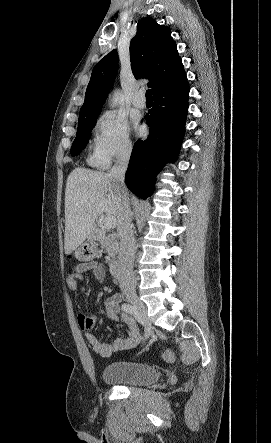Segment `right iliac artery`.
I'll return each mask as SVG.
<instances>
[{
  "instance_id": "82829eb1",
  "label": "right iliac artery",
  "mask_w": 271,
  "mask_h": 443,
  "mask_svg": "<svg viewBox=\"0 0 271 443\" xmlns=\"http://www.w3.org/2000/svg\"><path fill=\"white\" fill-rule=\"evenodd\" d=\"M121 307H122V310H123V311H125V312H127V313L133 315L134 318H135L139 323H142V317H141V315L139 314V312H138V310H137V308H136L135 306H132V305H130V304H126V303H124V304H122Z\"/></svg>"
}]
</instances>
